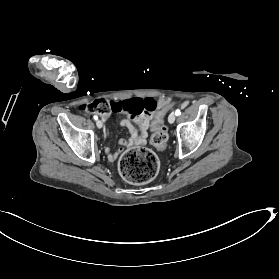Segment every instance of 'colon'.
Masks as SVG:
<instances>
[{
    "label": "colon",
    "mask_w": 279,
    "mask_h": 279,
    "mask_svg": "<svg viewBox=\"0 0 279 279\" xmlns=\"http://www.w3.org/2000/svg\"><path fill=\"white\" fill-rule=\"evenodd\" d=\"M172 105L166 100L157 103L154 99H130L121 102H109L97 99L91 102L86 109L100 116H108L111 113H127L139 116L145 113H153L161 108L152 123V144L160 151L164 150L168 141V131L164 125V119ZM122 177L133 184H144L151 181L159 170V162L156 155L143 148L126 151L119 162Z\"/></svg>",
    "instance_id": "1"
}]
</instances>
